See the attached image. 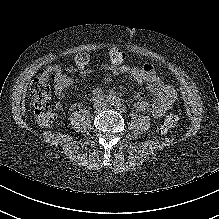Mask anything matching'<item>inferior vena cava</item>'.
Segmentation results:
<instances>
[{"mask_svg":"<svg viewBox=\"0 0 219 219\" xmlns=\"http://www.w3.org/2000/svg\"><path fill=\"white\" fill-rule=\"evenodd\" d=\"M100 106H101L100 108H103V109L109 107V105H107L106 102H102V103L100 104Z\"/></svg>","mask_w":219,"mask_h":219,"instance_id":"obj_1","label":"inferior vena cava"}]
</instances>
